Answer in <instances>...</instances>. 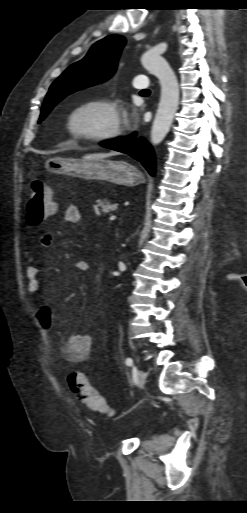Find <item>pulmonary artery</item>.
<instances>
[{
    "mask_svg": "<svg viewBox=\"0 0 247 513\" xmlns=\"http://www.w3.org/2000/svg\"><path fill=\"white\" fill-rule=\"evenodd\" d=\"M133 86L142 90L149 86V81L145 75H138L133 81Z\"/></svg>",
    "mask_w": 247,
    "mask_h": 513,
    "instance_id": "obj_1",
    "label": "pulmonary artery"
}]
</instances>
